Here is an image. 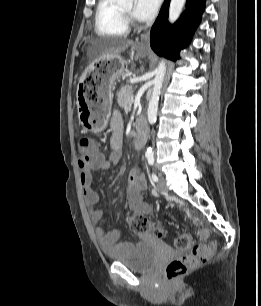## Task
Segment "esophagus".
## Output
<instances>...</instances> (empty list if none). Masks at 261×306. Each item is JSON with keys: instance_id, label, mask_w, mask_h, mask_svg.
<instances>
[{"instance_id": "esophagus-1", "label": "esophagus", "mask_w": 261, "mask_h": 306, "mask_svg": "<svg viewBox=\"0 0 261 306\" xmlns=\"http://www.w3.org/2000/svg\"><path fill=\"white\" fill-rule=\"evenodd\" d=\"M138 47L142 50L150 49L149 31L141 35L140 40L138 42Z\"/></svg>"}]
</instances>
